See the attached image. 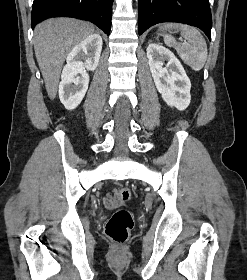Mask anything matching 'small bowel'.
<instances>
[{
  "instance_id": "obj_1",
  "label": "small bowel",
  "mask_w": 247,
  "mask_h": 280,
  "mask_svg": "<svg viewBox=\"0 0 247 280\" xmlns=\"http://www.w3.org/2000/svg\"><path fill=\"white\" fill-rule=\"evenodd\" d=\"M103 202H104L105 206L108 207V208H113V207H115L116 205L119 204L114 198V191L108 193L104 197Z\"/></svg>"
}]
</instances>
